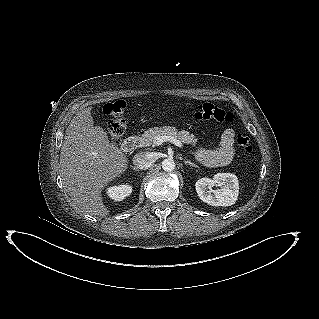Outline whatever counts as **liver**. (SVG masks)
Here are the masks:
<instances>
[{
    "instance_id": "liver-1",
    "label": "liver",
    "mask_w": 319,
    "mask_h": 319,
    "mask_svg": "<svg viewBox=\"0 0 319 319\" xmlns=\"http://www.w3.org/2000/svg\"><path fill=\"white\" fill-rule=\"evenodd\" d=\"M92 107L75 114L69 123L60 154L65 190L78 210L106 216L102 192L109 181L127 169L128 159L110 143L106 132L94 126Z\"/></svg>"
}]
</instances>
